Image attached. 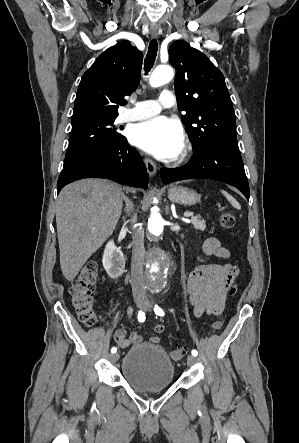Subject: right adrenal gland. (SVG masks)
I'll return each instance as SVG.
<instances>
[{
    "instance_id": "1",
    "label": "right adrenal gland",
    "mask_w": 299,
    "mask_h": 443,
    "mask_svg": "<svg viewBox=\"0 0 299 443\" xmlns=\"http://www.w3.org/2000/svg\"><path fill=\"white\" fill-rule=\"evenodd\" d=\"M123 199L125 202L124 212L126 213L127 216H129L132 209H133V204H132L131 200L125 194L123 195ZM123 220H125V217H123Z\"/></svg>"
}]
</instances>
